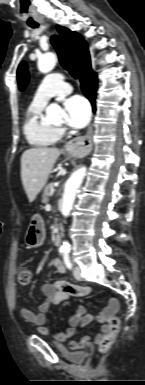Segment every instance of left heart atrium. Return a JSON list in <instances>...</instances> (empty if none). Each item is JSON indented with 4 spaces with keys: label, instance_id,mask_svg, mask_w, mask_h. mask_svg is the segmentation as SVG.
Returning a JSON list of instances; mask_svg holds the SVG:
<instances>
[{
    "label": "left heart atrium",
    "instance_id": "left-heart-atrium-1",
    "mask_svg": "<svg viewBox=\"0 0 145 385\" xmlns=\"http://www.w3.org/2000/svg\"><path fill=\"white\" fill-rule=\"evenodd\" d=\"M66 123L74 129L85 127L91 116L88 102L82 96L74 95L64 101Z\"/></svg>",
    "mask_w": 145,
    "mask_h": 385
}]
</instances>
